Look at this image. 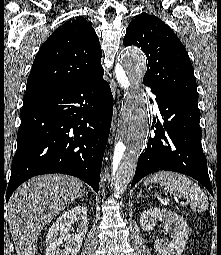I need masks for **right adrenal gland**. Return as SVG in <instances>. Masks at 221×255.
I'll list each match as a JSON object with an SVG mask.
<instances>
[{
  "mask_svg": "<svg viewBox=\"0 0 221 255\" xmlns=\"http://www.w3.org/2000/svg\"><path fill=\"white\" fill-rule=\"evenodd\" d=\"M83 194L88 195V192H87V191H85V190H83V193L81 194L80 198H82V197H83Z\"/></svg>",
  "mask_w": 221,
  "mask_h": 255,
  "instance_id": "right-adrenal-gland-1",
  "label": "right adrenal gland"
}]
</instances>
